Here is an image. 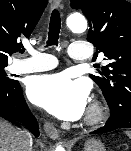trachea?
Returning a JSON list of instances; mask_svg holds the SVG:
<instances>
[{"instance_id": "trachea-1", "label": "trachea", "mask_w": 131, "mask_h": 151, "mask_svg": "<svg viewBox=\"0 0 131 151\" xmlns=\"http://www.w3.org/2000/svg\"><path fill=\"white\" fill-rule=\"evenodd\" d=\"M61 28V19L58 10L54 9L49 24L47 46L58 45L59 33ZM24 49L20 53H24Z\"/></svg>"}]
</instances>
